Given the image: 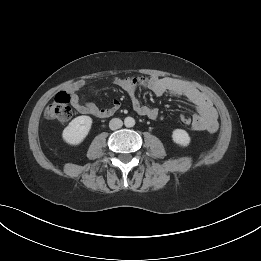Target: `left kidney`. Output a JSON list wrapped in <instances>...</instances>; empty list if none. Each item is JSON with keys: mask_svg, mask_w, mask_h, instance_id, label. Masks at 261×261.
I'll list each match as a JSON object with an SVG mask.
<instances>
[{"mask_svg": "<svg viewBox=\"0 0 261 261\" xmlns=\"http://www.w3.org/2000/svg\"><path fill=\"white\" fill-rule=\"evenodd\" d=\"M172 139L176 144L184 147L190 143L189 134L183 129H175L172 133Z\"/></svg>", "mask_w": 261, "mask_h": 261, "instance_id": "obj_1", "label": "left kidney"}]
</instances>
